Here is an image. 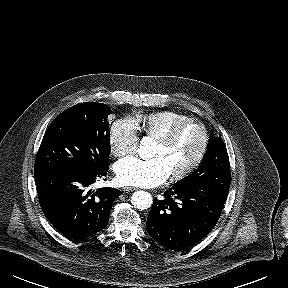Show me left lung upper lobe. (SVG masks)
Instances as JSON below:
<instances>
[{
	"instance_id": "1",
	"label": "left lung upper lobe",
	"mask_w": 288,
	"mask_h": 288,
	"mask_svg": "<svg viewBox=\"0 0 288 288\" xmlns=\"http://www.w3.org/2000/svg\"><path fill=\"white\" fill-rule=\"evenodd\" d=\"M231 183L227 149L221 137L210 138L198 168L174 185L199 188L227 197Z\"/></svg>"
}]
</instances>
